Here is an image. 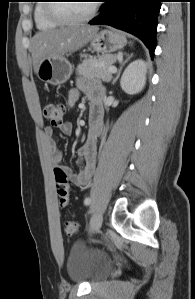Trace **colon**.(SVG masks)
I'll return each instance as SVG.
<instances>
[{
	"label": "colon",
	"mask_w": 195,
	"mask_h": 299,
	"mask_svg": "<svg viewBox=\"0 0 195 299\" xmlns=\"http://www.w3.org/2000/svg\"><path fill=\"white\" fill-rule=\"evenodd\" d=\"M65 113L66 105L63 102L51 101L43 108L44 117L52 126L62 125ZM54 175L60 207L66 208L69 203L67 175L60 168L54 169ZM64 228L67 234L72 235L78 231L79 225L75 221H66Z\"/></svg>",
	"instance_id": "colon-1"
}]
</instances>
